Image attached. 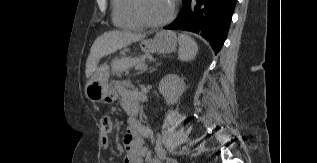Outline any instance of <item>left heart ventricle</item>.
Returning <instances> with one entry per match:
<instances>
[{"label":"left heart ventricle","instance_id":"b2bd125f","mask_svg":"<svg viewBox=\"0 0 317 163\" xmlns=\"http://www.w3.org/2000/svg\"><path fill=\"white\" fill-rule=\"evenodd\" d=\"M172 8V0H143L145 16L150 21H161L165 19Z\"/></svg>","mask_w":317,"mask_h":163}]
</instances>
